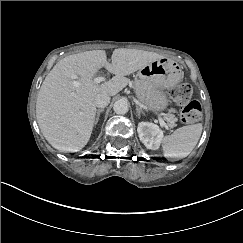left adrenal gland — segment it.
I'll use <instances>...</instances> for the list:
<instances>
[{"label":"left adrenal gland","instance_id":"1","mask_svg":"<svg viewBox=\"0 0 243 243\" xmlns=\"http://www.w3.org/2000/svg\"><path fill=\"white\" fill-rule=\"evenodd\" d=\"M136 112H137L138 118H141V114L144 113V111L138 106H136Z\"/></svg>","mask_w":243,"mask_h":243}]
</instances>
